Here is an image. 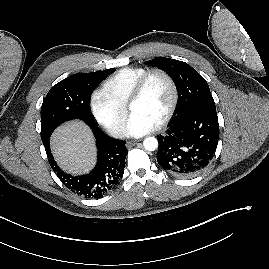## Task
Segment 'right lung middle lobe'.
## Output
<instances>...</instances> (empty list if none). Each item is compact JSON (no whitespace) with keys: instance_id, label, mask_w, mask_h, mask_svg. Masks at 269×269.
I'll list each match as a JSON object with an SVG mask.
<instances>
[{"instance_id":"right-lung-middle-lobe-1","label":"right lung middle lobe","mask_w":269,"mask_h":269,"mask_svg":"<svg viewBox=\"0 0 269 269\" xmlns=\"http://www.w3.org/2000/svg\"><path fill=\"white\" fill-rule=\"evenodd\" d=\"M114 68L87 74H75L54 85L41 106V139L45 142L61 123L81 119L97 126L90 109V95L95 86Z\"/></svg>"}]
</instances>
